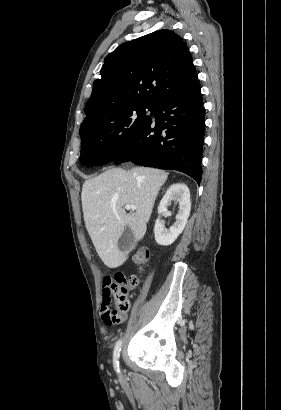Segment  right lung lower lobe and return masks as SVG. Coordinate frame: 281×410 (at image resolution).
<instances>
[{
    "label": "right lung lower lobe",
    "mask_w": 281,
    "mask_h": 410,
    "mask_svg": "<svg viewBox=\"0 0 281 410\" xmlns=\"http://www.w3.org/2000/svg\"><path fill=\"white\" fill-rule=\"evenodd\" d=\"M151 119L114 161H131L137 165L178 170L198 183L201 181V159L205 118L200 84L164 97L151 110Z\"/></svg>",
    "instance_id": "1"
}]
</instances>
